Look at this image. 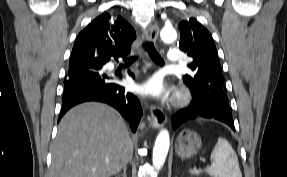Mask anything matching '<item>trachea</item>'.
I'll list each match as a JSON object with an SVG mask.
<instances>
[{
    "instance_id": "1",
    "label": "trachea",
    "mask_w": 287,
    "mask_h": 177,
    "mask_svg": "<svg viewBox=\"0 0 287 177\" xmlns=\"http://www.w3.org/2000/svg\"><path fill=\"white\" fill-rule=\"evenodd\" d=\"M143 47L148 52L149 56L153 59L154 62H156L157 64H160V65L164 64V60L162 59L160 54L155 49L153 42L145 41L143 44ZM136 58H137V56H130L128 58V61H135Z\"/></svg>"
}]
</instances>
